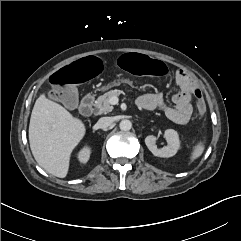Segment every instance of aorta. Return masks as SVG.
I'll use <instances>...</instances> for the list:
<instances>
[{"instance_id": "1", "label": "aorta", "mask_w": 241, "mask_h": 241, "mask_svg": "<svg viewBox=\"0 0 241 241\" xmlns=\"http://www.w3.org/2000/svg\"><path fill=\"white\" fill-rule=\"evenodd\" d=\"M119 127L122 131H129L132 128V123L130 120H122Z\"/></svg>"}]
</instances>
